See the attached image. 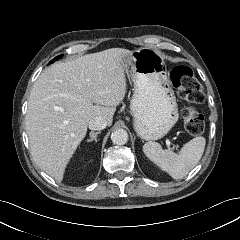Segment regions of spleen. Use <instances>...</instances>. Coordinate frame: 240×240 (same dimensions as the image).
Listing matches in <instances>:
<instances>
[{
  "instance_id": "3e777b00",
  "label": "spleen",
  "mask_w": 240,
  "mask_h": 240,
  "mask_svg": "<svg viewBox=\"0 0 240 240\" xmlns=\"http://www.w3.org/2000/svg\"><path fill=\"white\" fill-rule=\"evenodd\" d=\"M206 140L198 136L186 143L177 154L168 149H162L157 142H147L143 146L144 154L173 179L184 178L201 159Z\"/></svg>"
}]
</instances>
